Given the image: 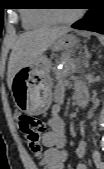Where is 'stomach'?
I'll use <instances>...</instances> for the list:
<instances>
[{
  "instance_id": "1",
  "label": "stomach",
  "mask_w": 104,
  "mask_h": 169,
  "mask_svg": "<svg viewBox=\"0 0 104 169\" xmlns=\"http://www.w3.org/2000/svg\"><path fill=\"white\" fill-rule=\"evenodd\" d=\"M77 42L78 38L73 33L60 36L51 46L52 56L54 52L69 49ZM51 69V59L42 55L34 63L21 68L15 74L11 84V94L15 106L21 112L40 115L49 109L53 96Z\"/></svg>"
}]
</instances>
